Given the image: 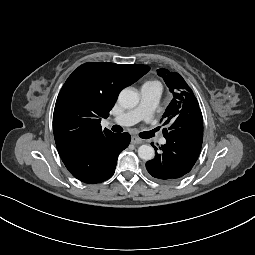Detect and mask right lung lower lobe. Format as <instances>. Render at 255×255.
<instances>
[{
    "instance_id": "98d812e1",
    "label": "right lung lower lobe",
    "mask_w": 255,
    "mask_h": 255,
    "mask_svg": "<svg viewBox=\"0 0 255 255\" xmlns=\"http://www.w3.org/2000/svg\"><path fill=\"white\" fill-rule=\"evenodd\" d=\"M129 133L116 134L85 143L61 156L69 172L78 180L95 184L109 179L115 172L118 155L128 147Z\"/></svg>"
}]
</instances>
